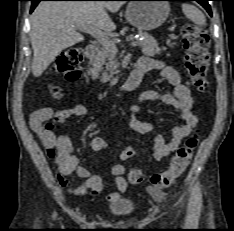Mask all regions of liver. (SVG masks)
<instances>
[{
  "instance_id": "1",
  "label": "liver",
  "mask_w": 234,
  "mask_h": 231,
  "mask_svg": "<svg viewBox=\"0 0 234 231\" xmlns=\"http://www.w3.org/2000/svg\"><path fill=\"white\" fill-rule=\"evenodd\" d=\"M122 1H43L31 15L30 39L34 52L32 73L39 77L65 49L84 40L77 24L112 32L116 25L107 11L116 13Z\"/></svg>"
}]
</instances>
